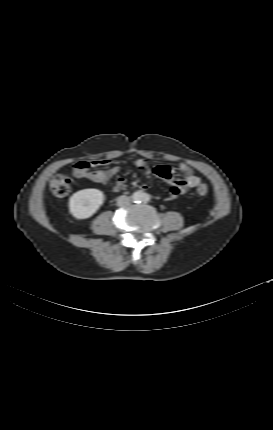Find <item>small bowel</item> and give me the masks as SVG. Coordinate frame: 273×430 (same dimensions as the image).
<instances>
[{
    "label": "small bowel",
    "instance_id": "small-bowel-1",
    "mask_svg": "<svg viewBox=\"0 0 273 430\" xmlns=\"http://www.w3.org/2000/svg\"><path fill=\"white\" fill-rule=\"evenodd\" d=\"M109 160H94V161H79L73 167V173L78 178H86L96 183L106 184L110 179L118 175L120 169L117 166L111 167L107 170L97 169L91 171L90 168L94 166H100L108 163ZM133 164L138 169H144L147 166V160L145 158H137ZM179 170L184 174V178H176L173 169L168 166H159L154 169V173L164 179L169 185L168 200H174L180 195L186 193L189 189L197 187L201 180L194 174V170L185 163L179 164ZM142 188H146L145 184L140 185ZM126 187L125 180L119 177L114 186L113 191H120Z\"/></svg>",
    "mask_w": 273,
    "mask_h": 430
}]
</instances>
